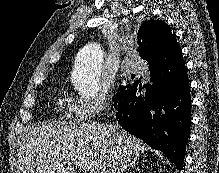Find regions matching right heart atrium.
<instances>
[{
    "label": "right heart atrium",
    "mask_w": 219,
    "mask_h": 173,
    "mask_svg": "<svg viewBox=\"0 0 219 173\" xmlns=\"http://www.w3.org/2000/svg\"><path fill=\"white\" fill-rule=\"evenodd\" d=\"M108 105V91L103 90L97 95L86 98L74 96L70 100L69 112L80 121H86L101 114Z\"/></svg>",
    "instance_id": "d8ad5b80"
}]
</instances>
